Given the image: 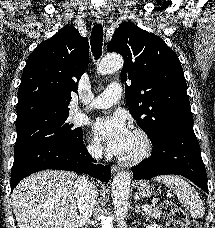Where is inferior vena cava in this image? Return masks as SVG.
I'll use <instances>...</instances> for the list:
<instances>
[{"label": "inferior vena cava", "instance_id": "602c4592", "mask_svg": "<svg viewBox=\"0 0 215 228\" xmlns=\"http://www.w3.org/2000/svg\"><path fill=\"white\" fill-rule=\"evenodd\" d=\"M88 152L95 160H100V158H102V150H100V148H92V146H90ZM74 188L80 218L81 220H88V218L92 216L93 208L97 200V188L95 184L88 182V178H85V176L76 178Z\"/></svg>", "mask_w": 215, "mask_h": 228}]
</instances>
